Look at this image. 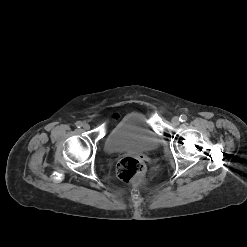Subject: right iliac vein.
Masks as SVG:
<instances>
[{"instance_id": "right-iliac-vein-1", "label": "right iliac vein", "mask_w": 247, "mask_h": 247, "mask_svg": "<svg viewBox=\"0 0 247 247\" xmlns=\"http://www.w3.org/2000/svg\"><path fill=\"white\" fill-rule=\"evenodd\" d=\"M83 129H84V130H89V129H90V125H89L88 123H85V124L83 125Z\"/></svg>"}]
</instances>
